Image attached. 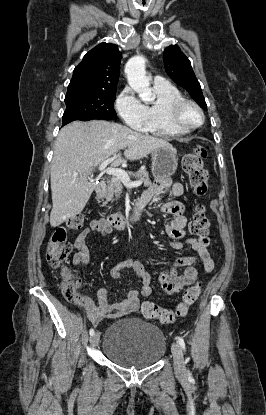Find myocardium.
<instances>
[{
  "label": "myocardium",
  "instance_id": "f54148a6",
  "mask_svg": "<svg viewBox=\"0 0 266 415\" xmlns=\"http://www.w3.org/2000/svg\"><path fill=\"white\" fill-rule=\"evenodd\" d=\"M186 106H192L197 110L201 117V122L199 124H189L187 123L182 116L183 110ZM167 116L169 121L177 128L191 131L201 127L205 122V114L202 108L193 100L180 97L172 100L167 106Z\"/></svg>",
  "mask_w": 266,
  "mask_h": 415
}]
</instances>
